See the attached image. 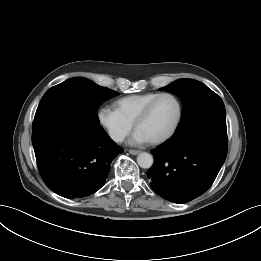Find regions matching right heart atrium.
Wrapping results in <instances>:
<instances>
[{
  "instance_id": "d8ad5b80",
  "label": "right heart atrium",
  "mask_w": 261,
  "mask_h": 261,
  "mask_svg": "<svg viewBox=\"0 0 261 261\" xmlns=\"http://www.w3.org/2000/svg\"><path fill=\"white\" fill-rule=\"evenodd\" d=\"M97 121L106 131L109 138L116 142H122L130 133L133 124L124 119L115 109L108 106L101 107L97 111Z\"/></svg>"
}]
</instances>
